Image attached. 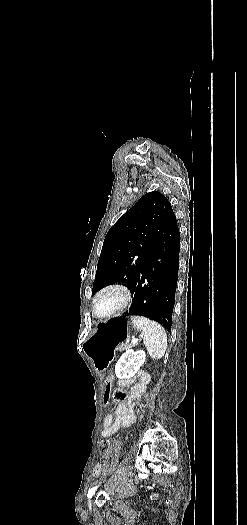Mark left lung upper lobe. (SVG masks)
I'll return each instance as SVG.
<instances>
[{
  "mask_svg": "<svg viewBox=\"0 0 247 525\" xmlns=\"http://www.w3.org/2000/svg\"><path fill=\"white\" fill-rule=\"evenodd\" d=\"M174 216L160 192L143 195L108 231L98 260L92 294L113 282L129 287L146 263L150 245Z\"/></svg>",
  "mask_w": 247,
  "mask_h": 525,
  "instance_id": "1",
  "label": "left lung upper lobe"
}]
</instances>
